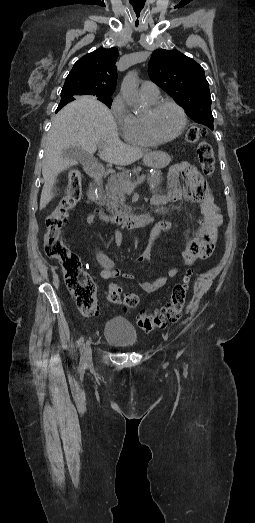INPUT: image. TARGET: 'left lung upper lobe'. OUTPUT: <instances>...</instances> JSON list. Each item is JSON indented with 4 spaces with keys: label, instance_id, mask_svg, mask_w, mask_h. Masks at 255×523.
I'll return each instance as SVG.
<instances>
[{
    "label": "left lung upper lobe",
    "instance_id": "left-lung-upper-lobe-1",
    "mask_svg": "<svg viewBox=\"0 0 255 523\" xmlns=\"http://www.w3.org/2000/svg\"><path fill=\"white\" fill-rule=\"evenodd\" d=\"M150 79L171 95L197 123L213 130L209 84L203 68L172 50L158 49L149 61Z\"/></svg>",
    "mask_w": 255,
    "mask_h": 523
}]
</instances>
